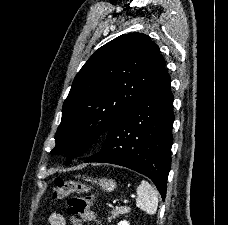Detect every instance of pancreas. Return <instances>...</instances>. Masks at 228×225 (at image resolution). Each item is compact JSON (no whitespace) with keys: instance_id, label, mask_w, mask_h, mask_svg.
Masks as SVG:
<instances>
[{"instance_id":"cf45deb5","label":"pancreas","mask_w":228,"mask_h":225,"mask_svg":"<svg viewBox=\"0 0 228 225\" xmlns=\"http://www.w3.org/2000/svg\"><path fill=\"white\" fill-rule=\"evenodd\" d=\"M110 213L111 217H108L109 223H111L112 219H116L118 215H127V213H130V209H128V207H116V209H112Z\"/></svg>"}]
</instances>
